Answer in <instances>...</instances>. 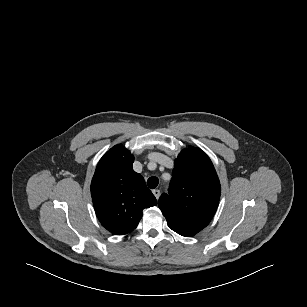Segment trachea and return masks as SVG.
Wrapping results in <instances>:
<instances>
[{"instance_id":"3493384b","label":"trachea","mask_w":307,"mask_h":307,"mask_svg":"<svg viewBox=\"0 0 307 307\" xmlns=\"http://www.w3.org/2000/svg\"><path fill=\"white\" fill-rule=\"evenodd\" d=\"M158 183H159V180H158L157 177H150V178L147 180V185H148V187L151 188V189L156 188L157 185H158Z\"/></svg>"}]
</instances>
